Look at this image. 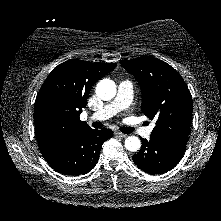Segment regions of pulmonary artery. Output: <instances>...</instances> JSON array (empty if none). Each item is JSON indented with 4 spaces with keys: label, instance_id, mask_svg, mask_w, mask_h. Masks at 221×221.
I'll use <instances>...</instances> for the list:
<instances>
[{
    "label": "pulmonary artery",
    "instance_id": "e3ab8cb5",
    "mask_svg": "<svg viewBox=\"0 0 221 221\" xmlns=\"http://www.w3.org/2000/svg\"><path fill=\"white\" fill-rule=\"evenodd\" d=\"M133 98V84L129 80L120 82L117 90L116 97L103 108L94 112L89 119L102 121L116 115L118 112L127 109ZM153 127H136L135 131L145 138H149L152 133Z\"/></svg>",
    "mask_w": 221,
    "mask_h": 221
}]
</instances>
